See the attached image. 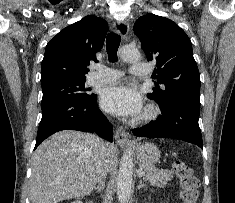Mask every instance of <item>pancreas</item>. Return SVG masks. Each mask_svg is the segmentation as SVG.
<instances>
[{
	"instance_id": "obj_1",
	"label": "pancreas",
	"mask_w": 235,
	"mask_h": 203,
	"mask_svg": "<svg viewBox=\"0 0 235 203\" xmlns=\"http://www.w3.org/2000/svg\"><path fill=\"white\" fill-rule=\"evenodd\" d=\"M140 171L144 172L143 179L150 181L153 185H166L173 178V172L169 170H159L153 165L140 164Z\"/></svg>"
}]
</instances>
